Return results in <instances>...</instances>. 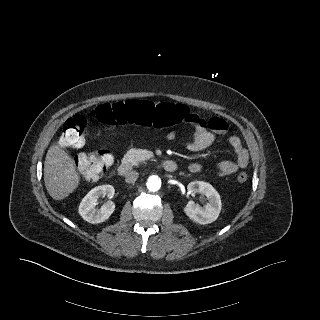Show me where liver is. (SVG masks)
<instances>
[{
  "mask_svg": "<svg viewBox=\"0 0 320 320\" xmlns=\"http://www.w3.org/2000/svg\"><path fill=\"white\" fill-rule=\"evenodd\" d=\"M71 157L58 145H52L44 162V182L54 200H63L79 185Z\"/></svg>",
  "mask_w": 320,
  "mask_h": 320,
  "instance_id": "1",
  "label": "liver"
}]
</instances>
